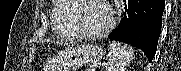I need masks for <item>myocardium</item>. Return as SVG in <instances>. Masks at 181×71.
Returning <instances> with one entry per match:
<instances>
[{"mask_svg": "<svg viewBox=\"0 0 181 71\" xmlns=\"http://www.w3.org/2000/svg\"><path fill=\"white\" fill-rule=\"evenodd\" d=\"M63 1L71 3L72 12L70 15V24H71L72 30L74 31V33L76 34L78 38L87 39V40H96V39L107 36L116 26L117 18L115 14V9L113 5L107 0H102V1L109 8L110 21L104 29L98 32H89L80 27L79 22H78V16L81 10V5L78 2V0H63Z\"/></svg>", "mask_w": 181, "mask_h": 71, "instance_id": "1", "label": "myocardium"}]
</instances>
